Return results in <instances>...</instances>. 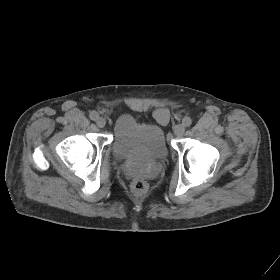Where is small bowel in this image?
I'll use <instances>...</instances> for the list:
<instances>
[{"label":"small bowel","instance_id":"small-bowel-1","mask_svg":"<svg viewBox=\"0 0 280 280\" xmlns=\"http://www.w3.org/2000/svg\"><path fill=\"white\" fill-rule=\"evenodd\" d=\"M157 115L159 118L165 120L168 117V111L166 109H160L157 111Z\"/></svg>","mask_w":280,"mask_h":280}]
</instances>
